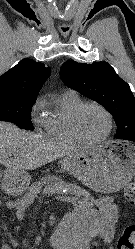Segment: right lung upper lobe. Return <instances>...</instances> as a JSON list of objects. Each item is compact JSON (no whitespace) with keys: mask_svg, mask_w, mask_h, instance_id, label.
Here are the masks:
<instances>
[{"mask_svg":"<svg viewBox=\"0 0 135 249\" xmlns=\"http://www.w3.org/2000/svg\"><path fill=\"white\" fill-rule=\"evenodd\" d=\"M51 68L32 59H23L0 76V94L36 98Z\"/></svg>","mask_w":135,"mask_h":249,"instance_id":"right-lung-upper-lobe-1","label":"right lung upper lobe"}]
</instances>
